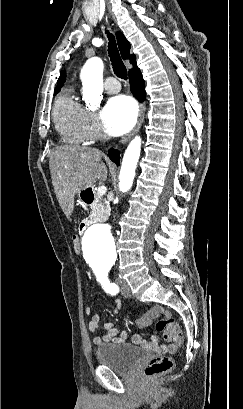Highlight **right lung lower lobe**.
Returning a JSON list of instances; mask_svg holds the SVG:
<instances>
[{
  "label": "right lung lower lobe",
  "instance_id": "1",
  "mask_svg": "<svg viewBox=\"0 0 243 409\" xmlns=\"http://www.w3.org/2000/svg\"><path fill=\"white\" fill-rule=\"evenodd\" d=\"M129 81L132 88L133 95L142 102L145 99V83L142 78L140 71H136L129 75ZM110 159L117 165H119L120 157L119 152L113 151L112 149L109 152Z\"/></svg>",
  "mask_w": 243,
  "mask_h": 409
}]
</instances>
